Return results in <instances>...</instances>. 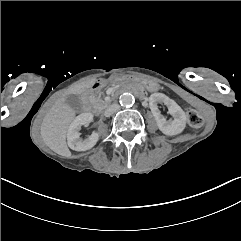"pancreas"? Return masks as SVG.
<instances>
[{
  "instance_id": "cf45deb5",
  "label": "pancreas",
  "mask_w": 241,
  "mask_h": 241,
  "mask_svg": "<svg viewBox=\"0 0 241 241\" xmlns=\"http://www.w3.org/2000/svg\"><path fill=\"white\" fill-rule=\"evenodd\" d=\"M95 100H97L100 103V105L98 107L96 106ZM91 103L93 104L94 108H99V109L105 108L109 104L108 101H104V100L96 99V98L92 99Z\"/></svg>"
}]
</instances>
